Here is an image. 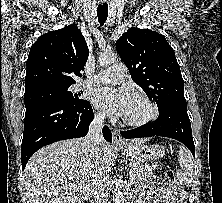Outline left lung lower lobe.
Segmentation results:
<instances>
[{
	"instance_id": "0a47b994",
	"label": "left lung lower lobe",
	"mask_w": 222,
	"mask_h": 203,
	"mask_svg": "<svg viewBox=\"0 0 222 203\" xmlns=\"http://www.w3.org/2000/svg\"><path fill=\"white\" fill-rule=\"evenodd\" d=\"M120 134L126 139L151 136L173 138L186 145L192 155L195 156L191 124L186 105L171 104L159 111V116L155 122L120 132Z\"/></svg>"
}]
</instances>
